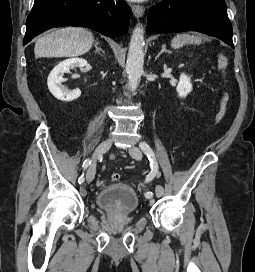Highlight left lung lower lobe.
I'll return each mask as SVG.
<instances>
[{"label":"left lung lower lobe","instance_id":"obj_1","mask_svg":"<svg viewBox=\"0 0 255 272\" xmlns=\"http://www.w3.org/2000/svg\"><path fill=\"white\" fill-rule=\"evenodd\" d=\"M146 31L153 34L198 31L234 49L224 0H163L148 11Z\"/></svg>","mask_w":255,"mask_h":272}]
</instances>
